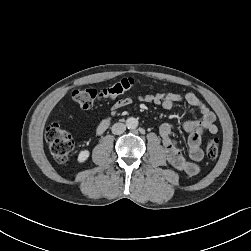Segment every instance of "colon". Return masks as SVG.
Segmentation results:
<instances>
[{"instance_id": "colon-1", "label": "colon", "mask_w": 251, "mask_h": 251, "mask_svg": "<svg viewBox=\"0 0 251 251\" xmlns=\"http://www.w3.org/2000/svg\"><path fill=\"white\" fill-rule=\"evenodd\" d=\"M135 84L133 78H124L102 89L83 88L72 93L73 100L82 109H89L94 104L110 100L129 91ZM45 138L53 158L58 163H65L69 159L74 147V141L58 121L51 123L45 131ZM220 142L217 137H211L205 145V152L209 159H215L219 154Z\"/></svg>"}]
</instances>
